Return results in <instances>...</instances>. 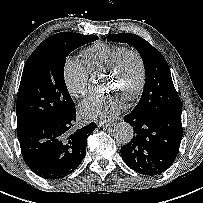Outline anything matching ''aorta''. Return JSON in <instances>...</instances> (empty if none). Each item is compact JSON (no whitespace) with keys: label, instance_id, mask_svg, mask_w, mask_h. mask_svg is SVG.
<instances>
[{"label":"aorta","instance_id":"aorta-1","mask_svg":"<svg viewBox=\"0 0 203 203\" xmlns=\"http://www.w3.org/2000/svg\"><path fill=\"white\" fill-rule=\"evenodd\" d=\"M114 138L121 144H127L129 143L133 138V127L126 123V122H120L117 123L114 127Z\"/></svg>","mask_w":203,"mask_h":203}]
</instances>
